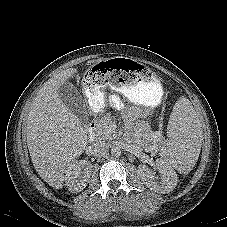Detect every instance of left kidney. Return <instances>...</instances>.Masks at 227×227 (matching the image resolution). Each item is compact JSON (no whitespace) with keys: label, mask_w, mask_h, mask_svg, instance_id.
I'll use <instances>...</instances> for the list:
<instances>
[{"label":"left kidney","mask_w":227,"mask_h":227,"mask_svg":"<svg viewBox=\"0 0 227 227\" xmlns=\"http://www.w3.org/2000/svg\"><path fill=\"white\" fill-rule=\"evenodd\" d=\"M155 167L160 177L155 176V172L147 165L138 166V176L149 189L155 192L166 194L173 191L178 177L172 166L163 159H157Z\"/></svg>","instance_id":"left-kidney-1"}]
</instances>
